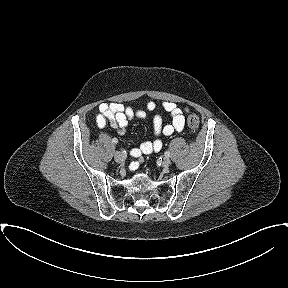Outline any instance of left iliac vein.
I'll list each match as a JSON object with an SVG mask.
<instances>
[{"mask_svg": "<svg viewBox=\"0 0 288 288\" xmlns=\"http://www.w3.org/2000/svg\"><path fill=\"white\" fill-rule=\"evenodd\" d=\"M171 164V160L169 157H164L163 161H162V166L164 168L169 167V165Z\"/></svg>", "mask_w": 288, "mask_h": 288, "instance_id": "obj_1", "label": "left iliac vein"}]
</instances>
